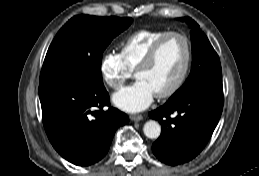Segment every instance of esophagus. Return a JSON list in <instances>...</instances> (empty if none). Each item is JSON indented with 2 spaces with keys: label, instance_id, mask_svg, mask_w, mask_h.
<instances>
[{
  "label": "esophagus",
  "instance_id": "34e87169",
  "mask_svg": "<svg viewBox=\"0 0 259 176\" xmlns=\"http://www.w3.org/2000/svg\"><path fill=\"white\" fill-rule=\"evenodd\" d=\"M130 119L132 121H141L143 119V116L142 115H130Z\"/></svg>",
  "mask_w": 259,
  "mask_h": 176
}]
</instances>
